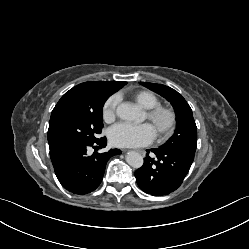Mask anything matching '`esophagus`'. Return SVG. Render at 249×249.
<instances>
[{
  "label": "esophagus",
  "mask_w": 249,
  "mask_h": 249,
  "mask_svg": "<svg viewBox=\"0 0 249 249\" xmlns=\"http://www.w3.org/2000/svg\"><path fill=\"white\" fill-rule=\"evenodd\" d=\"M140 154L144 155V151H138Z\"/></svg>",
  "instance_id": "esophagus-1"
}]
</instances>
